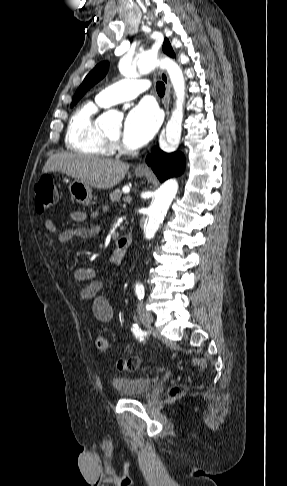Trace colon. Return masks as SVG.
I'll list each match as a JSON object with an SVG mask.
<instances>
[{"label":"colon","instance_id":"colon-1","mask_svg":"<svg viewBox=\"0 0 287 486\" xmlns=\"http://www.w3.org/2000/svg\"><path fill=\"white\" fill-rule=\"evenodd\" d=\"M58 198V191L53 179L48 176H42L35 184V208L37 212L44 213L52 208ZM95 346L98 350L104 351L108 348V340L103 333H98L95 337ZM137 358L120 359L116 367L120 371H134L139 367ZM183 387H174L171 395L176 396L183 391Z\"/></svg>","mask_w":287,"mask_h":486}]
</instances>
